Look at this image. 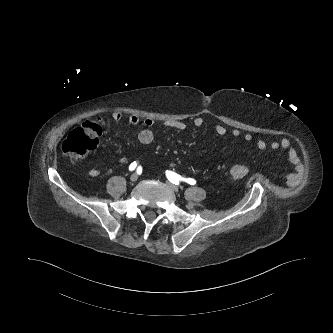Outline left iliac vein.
I'll use <instances>...</instances> for the list:
<instances>
[{"label":"left iliac vein","mask_w":333,"mask_h":333,"mask_svg":"<svg viewBox=\"0 0 333 333\" xmlns=\"http://www.w3.org/2000/svg\"><path fill=\"white\" fill-rule=\"evenodd\" d=\"M167 185L170 187V189H171L173 192H175V193H178V192H179V188H178L176 185L172 184L171 182H167Z\"/></svg>","instance_id":"obj_1"}]
</instances>
